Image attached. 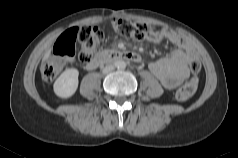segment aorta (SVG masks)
Listing matches in <instances>:
<instances>
[{
  "mask_svg": "<svg viewBox=\"0 0 238 158\" xmlns=\"http://www.w3.org/2000/svg\"><path fill=\"white\" fill-rule=\"evenodd\" d=\"M126 65H127L126 62L123 61V60L117 62V67H118L119 69H125V68H126Z\"/></svg>",
  "mask_w": 238,
  "mask_h": 158,
  "instance_id": "obj_1",
  "label": "aorta"
}]
</instances>
